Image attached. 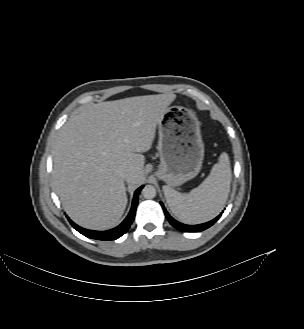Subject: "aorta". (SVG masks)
Instances as JSON below:
<instances>
[{
	"mask_svg": "<svg viewBox=\"0 0 304 329\" xmlns=\"http://www.w3.org/2000/svg\"><path fill=\"white\" fill-rule=\"evenodd\" d=\"M142 195L146 199H152V198H154L156 196V188L153 185H146L142 189Z\"/></svg>",
	"mask_w": 304,
	"mask_h": 329,
	"instance_id": "aorta-1",
	"label": "aorta"
}]
</instances>
